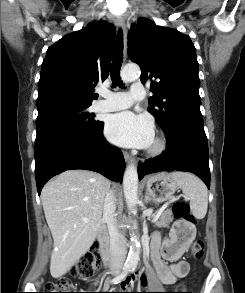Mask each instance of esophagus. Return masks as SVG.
<instances>
[{
    "instance_id": "34e87169",
    "label": "esophagus",
    "mask_w": 245,
    "mask_h": 293,
    "mask_svg": "<svg viewBox=\"0 0 245 293\" xmlns=\"http://www.w3.org/2000/svg\"><path fill=\"white\" fill-rule=\"evenodd\" d=\"M116 24L118 27H120L123 30V39H124V45H126V39H127V34H126V27H125V20L123 17H117L116 19ZM124 158L126 162H132L133 159L130 156L128 152H123Z\"/></svg>"
}]
</instances>
